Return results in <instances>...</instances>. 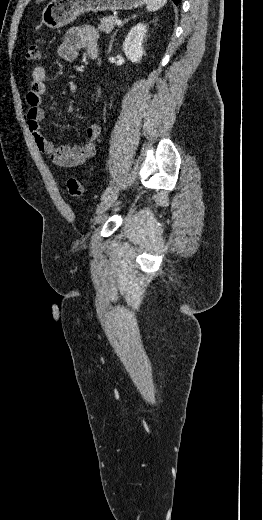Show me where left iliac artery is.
<instances>
[{"label":"left iliac artery","instance_id":"44dca946","mask_svg":"<svg viewBox=\"0 0 263 520\" xmlns=\"http://www.w3.org/2000/svg\"><path fill=\"white\" fill-rule=\"evenodd\" d=\"M111 191H112V186L107 187L106 190L103 192L101 199H104Z\"/></svg>","mask_w":263,"mask_h":520}]
</instances>
